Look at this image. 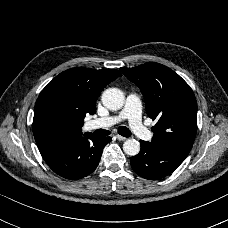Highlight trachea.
I'll use <instances>...</instances> for the list:
<instances>
[{
    "instance_id": "3493384b",
    "label": "trachea",
    "mask_w": 228,
    "mask_h": 228,
    "mask_svg": "<svg viewBox=\"0 0 228 228\" xmlns=\"http://www.w3.org/2000/svg\"><path fill=\"white\" fill-rule=\"evenodd\" d=\"M110 133H111L110 131L103 130V129H98L94 132L95 135L100 137L108 136L110 135ZM118 133L123 137H130L132 135L131 131L125 126H120L118 128Z\"/></svg>"
}]
</instances>
